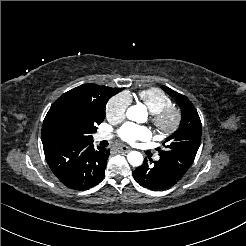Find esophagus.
<instances>
[{"label": "esophagus", "mask_w": 246, "mask_h": 246, "mask_svg": "<svg viewBox=\"0 0 246 246\" xmlns=\"http://www.w3.org/2000/svg\"><path fill=\"white\" fill-rule=\"evenodd\" d=\"M117 151L118 152H122V153H128V152L131 151V149L126 147V146H120V147L117 148Z\"/></svg>", "instance_id": "obj_1"}]
</instances>
